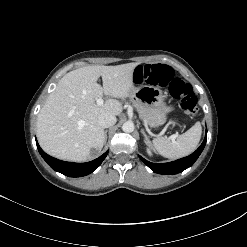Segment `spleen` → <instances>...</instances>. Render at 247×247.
Wrapping results in <instances>:
<instances>
[{"label": "spleen", "instance_id": "obj_1", "mask_svg": "<svg viewBox=\"0 0 247 247\" xmlns=\"http://www.w3.org/2000/svg\"><path fill=\"white\" fill-rule=\"evenodd\" d=\"M201 133V124L197 122L176 140H170L167 137H159L153 140V145L163 157L178 159L195 151L200 141Z\"/></svg>", "mask_w": 247, "mask_h": 247}]
</instances>
